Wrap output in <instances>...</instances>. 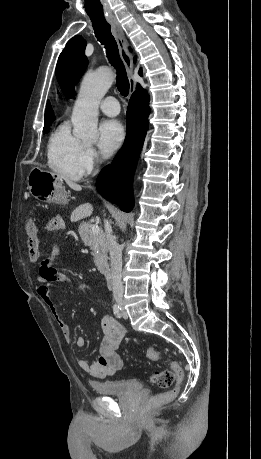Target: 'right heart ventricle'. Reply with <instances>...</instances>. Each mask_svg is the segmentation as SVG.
I'll use <instances>...</instances> for the list:
<instances>
[{
    "mask_svg": "<svg viewBox=\"0 0 261 459\" xmlns=\"http://www.w3.org/2000/svg\"><path fill=\"white\" fill-rule=\"evenodd\" d=\"M83 146L71 133L68 123L60 124L52 131L47 142L49 168L63 178L78 180L82 176L79 160Z\"/></svg>",
    "mask_w": 261,
    "mask_h": 459,
    "instance_id": "1",
    "label": "right heart ventricle"
}]
</instances>
